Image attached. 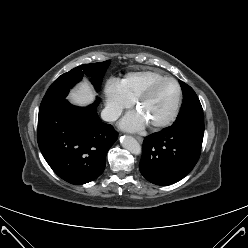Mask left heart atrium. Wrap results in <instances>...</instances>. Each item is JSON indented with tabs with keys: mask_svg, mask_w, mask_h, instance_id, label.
I'll return each instance as SVG.
<instances>
[{
	"mask_svg": "<svg viewBox=\"0 0 248 248\" xmlns=\"http://www.w3.org/2000/svg\"><path fill=\"white\" fill-rule=\"evenodd\" d=\"M147 124V120L139 110L129 112L121 121V126L128 131H141Z\"/></svg>",
	"mask_w": 248,
	"mask_h": 248,
	"instance_id": "1",
	"label": "left heart atrium"
}]
</instances>
